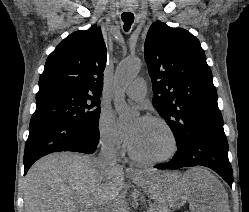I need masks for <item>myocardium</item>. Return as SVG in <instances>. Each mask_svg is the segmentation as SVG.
<instances>
[{"instance_id": "myocardium-1", "label": "myocardium", "mask_w": 249, "mask_h": 212, "mask_svg": "<svg viewBox=\"0 0 249 212\" xmlns=\"http://www.w3.org/2000/svg\"><path fill=\"white\" fill-rule=\"evenodd\" d=\"M142 119L145 121L158 123L168 132V134L170 135V137L172 139V143H173L172 151L170 152L169 155L162 157V158L146 159V158H142L139 155L135 154L132 151V149H130L131 158L134 161H136L140 164H144V165H160V164L167 163V162L171 161L172 159H174L179 152L180 145H179L178 137H177L175 131L173 130V128L170 126V124L166 120H164L163 118L158 117V116H154V115H146V116L142 117Z\"/></svg>"}]
</instances>
